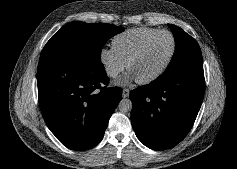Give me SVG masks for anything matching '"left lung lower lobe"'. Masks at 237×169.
Masks as SVG:
<instances>
[{
  "label": "left lung lower lobe",
  "instance_id": "left-lung-lower-lobe-1",
  "mask_svg": "<svg viewBox=\"0 0 237 169\" xmlns=\"http://www.w3.org/2000/svg\"><path fill=\"white\" fill-rule=\"evenodd\" d=\"M204 89L203 66H198L159 76L131 91V120L138 139L158 151L177 145L194 124Z\"/></svg>",
  "mask_w": 237,
  "mask_h": 169
}]
</instances>
